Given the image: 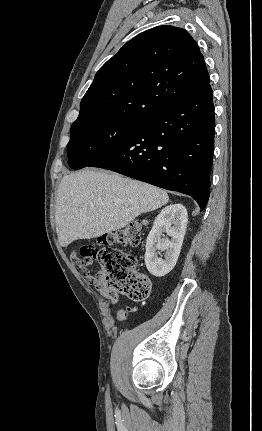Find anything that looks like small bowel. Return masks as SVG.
<instances>
[{
    "label": "small bowel",
    "instance_id": "obj_1",
    "mask_svg": "<svg viewBox=\"0 0 262 431\" xmlns=\"http://www.w3.org/2000/svg\"><path fill=\"white\" fill-rule=\"evenodd\" d=\"M84 279L88 284L95 285L99 293L107 300H109L111 303L116 304L120 300V295L118 292L102 286L96 280H94V278L91 275L89 274L85 275Z\"/></svg>",
    "mask_w": 262,
    "mask_h": 431
}]
</instances>
